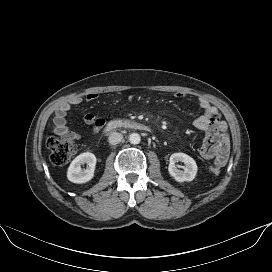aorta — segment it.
Listing matches in <instances>:
<instances>
[{"instance_id": "1", "label": "aorta", "mask_w": 272, "mask_h": 272, "mask_svg": "<svg viewBox=\"0 0 272 272\" xmlns=\"http://www.w3.org/2000/svg\"><path fill=\"white\" fill-rule=\"evenodd\" d=\"M140 141H141V137H140V135L138 133H132V134H130V136H129V142L131 144H134V145L135 144H139Z\"/></svg>"}]
</instances>
